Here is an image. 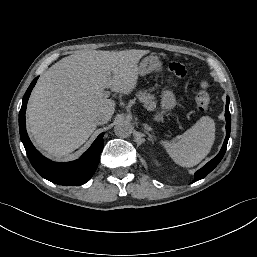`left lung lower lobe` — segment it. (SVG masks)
<instances>
[{
	"instance_id": "left-lung-lower-lobe-1",
	"label": "left lung lower lobe",
	"mask_w": 257,
	"mask_h": 257,
	"mask_svg": "<svg viewBox=\"0 0 257 257\" xmlns=\"http://www.w3.org/2000/svg\"><path fill=\"white\" fill-rule=\"evenodd\" d=\"M229 97L227 96V100H226V109H225V118H226V138L224 140L223 146L219 152V154L213 158L210 162H208L203 168H201L200 170H198L195 173V179L193 182L198 181L202 178H204L207 174H209L221 161V159L223 158L225 151H226V147H227V143H228V139L230 136V130H231V116H230V112H229Z\"/></svg>"
}]
</instances>
